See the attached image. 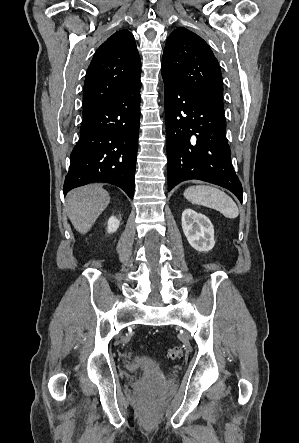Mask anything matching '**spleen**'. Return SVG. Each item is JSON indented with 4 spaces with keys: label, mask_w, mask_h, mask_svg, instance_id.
Returning a JSON list of instances; mask_svg holds the SVG:
<instances>
[{
    "label": "spleen",
    "mask_w": 299,
    "mask_h": 443,
    "mask_svg": "<svg viewBox=\"0 0 299 443\" xmlns=\"http://www.w3.org/2000/svg\"><path fill=\"white\" fill-rule=\"evenodd\" d=\"M184 197L192 204L206 206L221 212L226 218H236L239 209L233 199L218 188L199 185L184 191Z\"/></svg>",
    "instance_id": "3e777b00"
}]
</instances>
